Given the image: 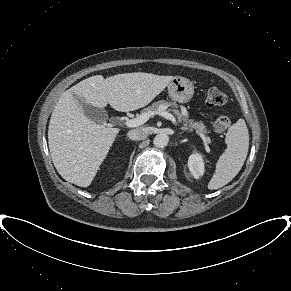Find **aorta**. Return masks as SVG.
Segmentation results:
<instances>
[{
  "mask_svg": "<svg viewBox=\"0 0 291 291\" xmlns=\"http://www.w3.org/2000/svg\"><path fill=\"white\" fill-rule=\"evenodd\" d=\"M169 142V136L165 133L158 134L153 139V144L156 147L162 148L165 147Z\"/></svg>",
  "mask_w": 291,
  "mask_h": 291,
  "instance_id": "762f6f07",
  "label": "aorta"
}]
</instances>
